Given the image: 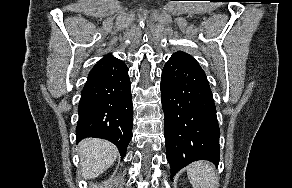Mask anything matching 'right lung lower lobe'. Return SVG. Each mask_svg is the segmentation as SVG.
<instances>
[{"label":"right lung lower lobe","instance_id":"98d812e1","mask_svg":"<svg viewBox=\"0 0 292 188\" xmlns=\"http://www.w3.org/2000/svg\"><path fill=\"white\" fill-rule=\"evenodd\" d=\"M77 142L93 137L115 144L121 159L132 138L133 104L128 68L108 55L90 71L81 93Z\"/></svg>","mask_w":292,"mask_h":188}]
</instances>
